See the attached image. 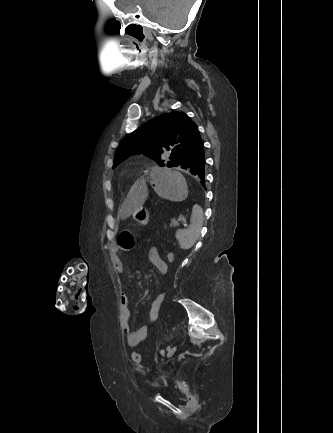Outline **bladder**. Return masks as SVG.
<instances>
[{
    "label": "bladder",
    "instance_id": "obj_1",
    "mask_svg": "<svg viewBox=\"0 0 333 433\" xmlns=\"http://www.w3.org/2000/svg\"><path fill=\"white\" fill-rule=\"evenodd\" d=\"M168 393H169L170 395H172V396H177L176 393H173V392H170V391H168Z\"/></svg>",
    "mask_w": 333,
    "mask_h": 433
}]
</instances>
